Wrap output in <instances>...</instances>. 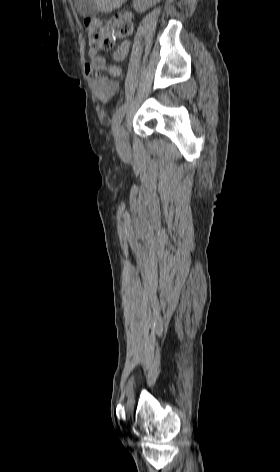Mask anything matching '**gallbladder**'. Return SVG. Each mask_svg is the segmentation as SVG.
<instances>
[{"mask_svg":"<svg viewBox=\"0 0 280 472\" xmlns=\"http://www.w3.org/2000/svg\"><path fill=\"white\" fill-rule=\"evenodd\" d=\"M75 6L77 12L83 18L94 16L98 12L95 0H75Z\"/></svg>","mask_w":280,"mask_h":472,"instance_id":"bac80fb5","label":"gallbladder"}]
</instances>
